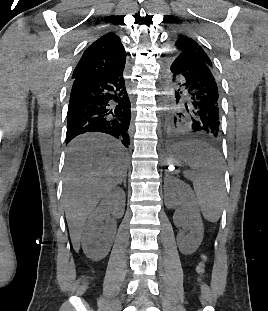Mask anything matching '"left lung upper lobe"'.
Wrapping results in <instances>:
<instances>
[{"label": "left lung upper lobe", "mask_w": 268, "mask_h": 311, "mask_svg": "<svg viewBox=\"0 0 268 311\" xmlns=\"http://www.w3.org/2000/svg\"><path fill=\"white\" fill-rule=\"evenodd\" d=\"M174 49L175 51L171 55L174 60L188 61L198 59L214 67L203 47L185 34H176L174 39Z\"/></svg>", "instance_id": "1"}]
</instances>
